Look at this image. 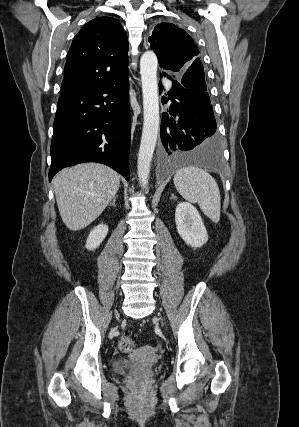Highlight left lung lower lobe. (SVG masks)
Here are the masks:
<instances>
[{
  "mask_svg": "<svg viewBox=\"0 0 299 427\" xmlns=\"http://www.w3.org/2000/svg\"><path fill=\"white\" fill-rule=\"evenodd\" d=\"M162 71L173 85L168 98H162V103H167L168 99L172 102L168 113L162 114V159L165 162H191L204 168L218 169L221 166V150L209 96L173 80L172 76L177 73ZM159 86L161 93L163 86L161 83Z\"/></svg>",
  "mask_w": 299,
  "mask_h": 427,
  "instance_id": "left-lung-lower-lobe-1",
  "label": "left lung lower lobe"
}]
</instances>
